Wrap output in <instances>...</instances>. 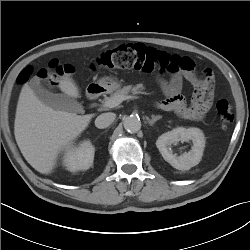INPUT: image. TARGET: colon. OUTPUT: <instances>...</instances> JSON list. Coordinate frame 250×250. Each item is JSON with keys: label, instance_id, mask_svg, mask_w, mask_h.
I'll return each mask as SVG.
<instances>
[{"label": "colon", "instance_id": "obj_1", "mask_svg": "<svg viewBox=\"0 0 250 250\" xmlns=\"http://www.w3.org/2000/svg\"><path fill=\"white\" fill-rule=\"evenodd\" d=\"M95 68L101 69H134L141 72L158 71L171 76L186 73L191 70L190 60L175 54L147 47L142 44H124L109 49L98 56L94 62ZM68 65H62L56 61L50 64V68L38 73L40 79L48 82L51 86H57L60 78L71 73ZM32 74L30 68L23 69L18 75L17 81L25 83ZM192 102H200L207 99L212 89L211 72L203 69L195 83ZM215 110L219 123L227 128L234 120L231 104L221 99L217 101Z\"/></svg>", "mask_w": 250, "mask_h": 250}]
</instances>
